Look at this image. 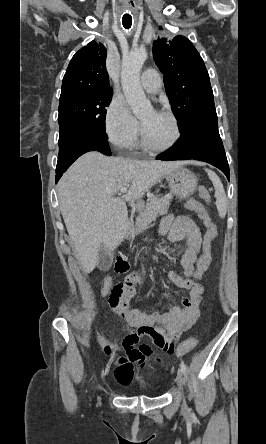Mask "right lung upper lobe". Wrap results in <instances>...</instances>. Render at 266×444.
<instances>
[{
  "label": "right lung upper lobe",
  "instance_id": "1",
  "mask_svg": "<svg viewBox=\"0 0 266 444\" xmlns=\"http://www.w3.org/2000/svg\"><path fill=\"white\" fill-rule=\"evenodd\" d=\"M106 48L95 41L75 53L62 82L60 101L112 90L106 70Z\"/></svg>",
  "mask_w": 266,
  "mask_h": 444
}]
</instances>
